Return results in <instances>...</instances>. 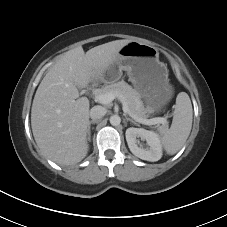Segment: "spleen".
<instances>
[{"label":"spleen","mask_w":227,"mask_h":227,"mask_svg":"<svg viewBox=\"0 0 227 227\" xmlns=\"http://www.w3.org/2000/svg\"><path fill=\"white\" fill-rule=\"evenodd\" d=\"M193 120L191 100L187 93L180 92L176 98L171 127L165 131L162 144L169 155L176 154L190 135Z\"/></svg>","instance_id":"1"}]
</instances>
